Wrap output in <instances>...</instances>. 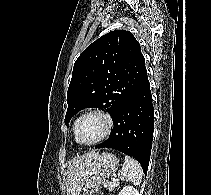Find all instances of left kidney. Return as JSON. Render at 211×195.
Returning a JSON list of instances; mask_svg holds the SVG:
<instances>
[{"label":"left kidney","mask_w":211,"mask_h":195,"mask_svg":"<svg viewBox=\"0 0 211 195\" xmlns=\"http://www.w3.org/2000/svg\"><path fill=\"white\" fill-rule=\"evenodd\" d=\"M118 195H140L133 186H124Z\"/></svg>","instance_id":"5707ae66"}]
</instances>
